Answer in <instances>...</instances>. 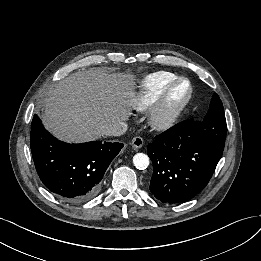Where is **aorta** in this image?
Segmentation results:
<instances>
[{"mask_svg":"<svg viewBox=\"0 0 261 261\" xmlns=\"http://www.w3.org/2000/svg\"><path fill=\"white\" fill-rule=\"evenodd\" d=\"M133 164L139 170H144L149 166V157L144 153H137L133 157Z\"/></svg>","mask_w":261,"mask_h":261,"instance_id":"1","label":"aorta"}]
</instances>
